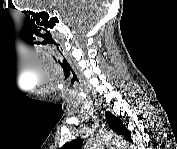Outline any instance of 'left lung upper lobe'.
<instances>
[{
    "mask_svg": "<svg viewBox=\"0 0 177 149\" xmlns=\"http://www.w3.org/2000/svg\"><path fill=\"white\" fill-rule=\"evenodd\" d=\"M107 121L109 123V127L113 129L115 132L126 136L128 139L131 140L130 132L125 128L123 122L115 117L112 113L108 112L106 114ZM82 146V139L78 138L73 141L66 143L62 148L63 149H81Z\"/></svg>",
    "mask_w": 177,
    "mask_h": 149,
    "instance_id": "left-lung-upper-lobe-1",
    "label": "left lung upper lobe"
}]
</instances>
